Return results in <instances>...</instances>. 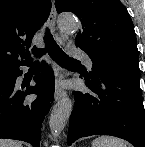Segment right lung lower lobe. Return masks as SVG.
<instances>
[{"mask_svg":"<svg viewBox=\"0 0 145 147\" xmlns=\"http://www.w3.org/2000/svg\"><path fill=\"white\" fill-rule=\"evenodd\" d=\"M30 61L0 72V138L22 140L39 147L41 124L54 95V78L52 70L43 63L34 77L36 85L18 89L16 78L22 75L19 67L29 65ZM28 94H37L36 100L25 101Z\"/></svg>","mask_w":145,"mask_h":147,"instance_id":"right-lung-lower-lobe-1","label":"right lung lower lobe"}]
</instances>
